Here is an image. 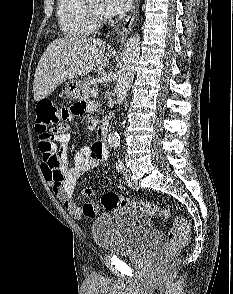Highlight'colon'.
I'll return each mask as SVG.
<instances>
[{"label":"colon","instance_id":"colon-1","mask_svg":"<svg viewBox=\"0 0 233 294\" xmlns=\"http://www.w3.org/2000/svg\"><path fill=\"white\" fill-rule=\"evenodd\" d=\"M57 120H62L60 109L48 99L41 100L36 107L35 121V129L39 134V146L41 149H50L55 136L65 131V129L60 128V125H57ZM101 205L106 209L129 206L146 215L172 221L173 226L166 236L165 243L158 252L157 260L159 264L166 262L171 254L184 246L189 239L190 228L188 222L182 217L174 216L170 210L153 202L128 200L116 193L108 192L102 195ZM85 211L92 213L95 211V206L88 204L85 206Z\"/></svg>","mask_w":233,"mask_h":294}]
</instances>
